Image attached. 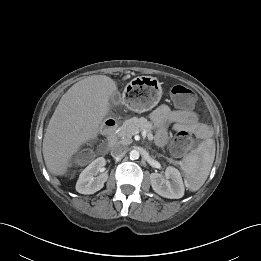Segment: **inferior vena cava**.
I'll list each match as a JSON object with an SVG mask.
<instances>
[{
	"mask_svg": "<svg viewBox=\"0 0 261 261\" xmlns=\"http://www.w3.org/2000/svg\"><path fill=\"white\" fill-rule=\"evenodd\" d=\"M128 151V148L126 146L122 145H115L111 149V155L114 158H122Z\"/></svg>",
	"mask_w": 261,
	"mask_h": 261,
	"instance_id": "602c4592",
	"label": "inferior vena cava"
}]
</instances>
